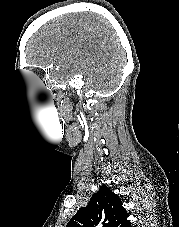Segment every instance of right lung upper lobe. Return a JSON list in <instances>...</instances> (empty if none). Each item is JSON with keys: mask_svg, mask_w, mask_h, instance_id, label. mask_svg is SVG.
I'll return each mask as SVG.
<instances>
[{"mask_svg": "<svg viewBox=\"0 0 179 227\" xmlns=\"http://www.w3.org/2000/svg\"><path fill=\"white\" fill-rule=\"evenodd\" d=\"M122 202L107 186H100L84 208H80L66 227H132Z\"/></svg>", "mask_w": 179, "mask_h": 227, "instance_id": "cb5924a9", "label": "right lung upper lobe"}]
</instances>
